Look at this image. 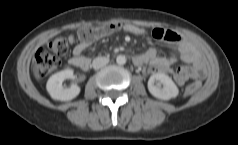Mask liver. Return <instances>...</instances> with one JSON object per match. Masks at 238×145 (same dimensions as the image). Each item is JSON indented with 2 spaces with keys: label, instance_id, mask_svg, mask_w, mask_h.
I'll return each mask as SVG.
<instances>
[{
  "label": "liver",
  "instance_id": "obj_1",
  "mask_svg": "<svg viewBox=\"0 0 238 145\" xmlns=\"http://www.w3.org/2000/svg\"><path fill=\"white\" fill-rule=\"evenodd\" d=\"M32 70H33V73H34V76L36 77V79L40 80V75L38 73V66L34 61L32 63Z\"/></svg>",
  "mask_w": 238,
  "mask_h": 145
}]
</instances>
